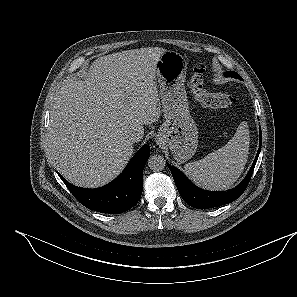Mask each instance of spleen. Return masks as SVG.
<instances>
[{
    "mask_svg": "<svg viewBox=\"0 0 297 297\" xmlns=\"http://www.w3.org/2000/svg\"><path fill=\"white\" fill-rule=\"evenodd\" d=\"M249 144L248 123L243 121L225 146L209 153L199 161L185 164V173L203 188L209 190L229 189L244 170Z\"/></svg>",
    "mask_w": 297,
    "mask_h": 297,
    "instance_id": "spleen-1",
    "label": "spleen"
}]
</instances>
